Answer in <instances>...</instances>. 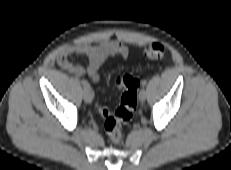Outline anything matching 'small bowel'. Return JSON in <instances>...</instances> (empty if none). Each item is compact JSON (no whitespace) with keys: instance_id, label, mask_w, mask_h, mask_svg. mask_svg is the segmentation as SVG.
<instances>
[{"instance_id":"small-bowel-1","label":"small bowel","mask_w":231,"mask_h":170,"mask_svg":"<svg viewBox=\"0 0 231 170\" xmlns=\"http://www.w3.org/2000/svg\"><path fill=\"white\" fill-rule=\"evenodd\" d=\"M118 55L123 59L129 56V49L121 42L108 39L98 44L78 43L62 48L57 55L58 65L75 76L87 74L93 82L100 81L98 73L101 64L109 57ZM75 56H84L88 59V66L73 63Z\"/></svg>"}]
</instances>
